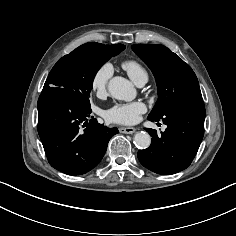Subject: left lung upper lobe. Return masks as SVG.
Segmentation results:
<instances>
[{
    "instance_id": "1",
    "label": "left lung upper lobe",
    "mask_w": 236,
    "mask_h": 236,
    "mask_svg": "<svg viewBox=\"0 0 236 236\" xmlns=\"http://www.w3.org/2000/svg\"><path fill=\"white\" fill-rule=\"evenodd\" d=\"M132 49L149 66L156 79L158 100L149 117L162 118L169 107L186 98H202L191 67L167 47L137 44L132 45Z\"/></svg>"
}]
</instances>
